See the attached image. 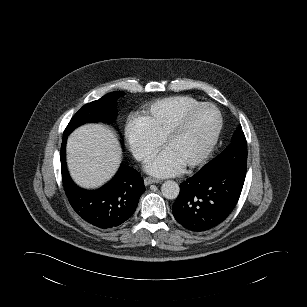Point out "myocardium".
<instances>
[{
	"label": "myocardium",
	"mask_w": 307,
	"mask_h": 307,
	"mask_svg": "<svg viewBox=\"0 0 307 307\" xmlns=\"http://www.w3.org/2000/svg\"><path fill=\"white\" fill-rule=\"evenodd\" d=\"M208 108L215 112L217 116V125L214 130L213 135L211 136L210 140L208 141L205 148L202 150L200 154H198L194 159L184 164V167L186 168H194L203 162L206 161V159L212 154L214 151L217 142L219 140L222 127H223V117L220 112V110L211 103H198L196 105L191 106L187 110L183 112V114L178 118V120L174 123V125L166 132L162 139V144L165 147V145L174 137L178 136L185 128L189 118L191 115L196 112L199 109Z\"/></svg>",
	"instance_id": "f54148a6"
}]
</instances>
